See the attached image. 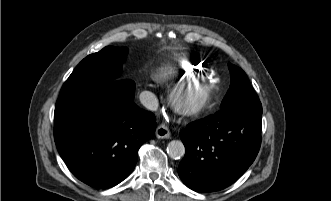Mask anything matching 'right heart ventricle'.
Returning a JSON list of instances; mask_svg holds the SVG:
<instances>
[{"instance_id": "1", "label": "right heart ventricle", "mask_w": 331, "mask_h": 201, "mask_svg": "<svg viewBox=\"0 0 331 201\" xmlns=\"http://www.w3.org/2000/svg\"><path fill=\"white\" fill-rule=\"evenodd\" d=\"M203 72L196 60L179 61L159 67L154 73V78L159 82H169L178 77H196Z\"/></svg>"}]
</instances>
